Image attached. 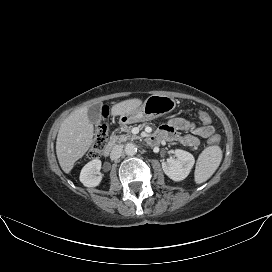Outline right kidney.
<instances>
[{"instance_id": "1", "label": "right kidney", "mask_w": 272, "mask_h": 272, "mask_svg": "<svg viewBox=\"0 0 272 272\" xmlns=\"http://www.w3.org/2000/svg\"><path fill=\"white\" fill-rule=\"evenodd\" d=\"M101 161L99 159H94L88 162L81 170L80 182L86 187H96L100 184L102 180Z\"/></svg>"}]
</instances>
